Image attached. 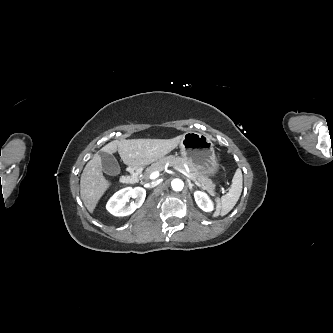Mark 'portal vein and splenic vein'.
<instances>
[{
	"label": "portal vein and splenic vein",
	"mask_w": 333,
	"mask_h": 333,
	"mask_svg": "<svg viewBox=\"0 0 333 333\" xmlns=\"http://www.w3.org/2000/svg\"><path fill=\"white\" fill-rule=\"evenodd\" d=\"M173 168H174L175 170H177L178 172L184 174L185 176H187V177L190 178L191 180H193L194 183H195L197 186L201 187L202 189L208 190L206 187H202L200 183H198L197 181H195V180L192 178V176L189 174L188 171H186V170H184V169H181V168H178V167H173ZM159 175H160L159 171H154V172H152V173L149 175V179H150V180H154V179L158 178Z\"/></svg>",
	"instance_id": "1"
}]
</instances>
